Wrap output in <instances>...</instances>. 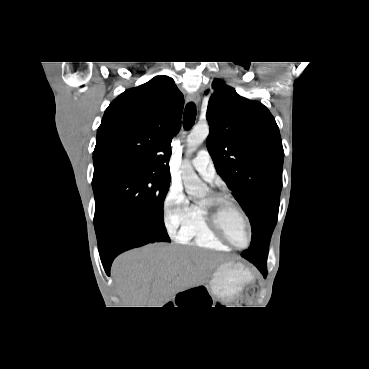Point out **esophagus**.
Here are the masks:
<instances>
[{
  "mask_svg": "<svg viewBox=\"0 0 369 369\" xmlns=\"http://www.w3.org/2000/svg\"><path fill=\"white\" fill-rule=\"evenodd\" d=\"M187 101L198 104L200 102V94L198 92L190 93L187 96Z\"/></svg>",
  "mask_w": 369,
  "mask_h": 369,
  "instance_id": "34e87169",
  "label": "esophagus"
}]
</instances>
